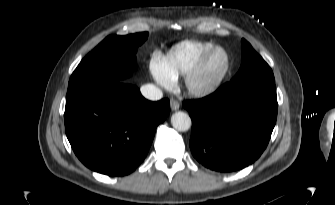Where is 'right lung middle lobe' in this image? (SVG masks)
I'll list each match as a JSON object with an SVG mask.
<instances>
[{
    "label": "right lung middle lobe",
    "instance_id": "dd1d6c3e",
    "mask_svg": "<svg viewBox=\"0 0 335 205\" xmlns=\"http://www.w3.org/2000/svg\"><path fill=\"white\" fill-rule=\"evenodd\" d=\"M147 37V32L106 37L82 59L70 77L68 88L99 76L127 78L135 68L136 50Z\"/></svg>",
    "mask_w": 335,
    "mask_h": 205
}]
</instances>
